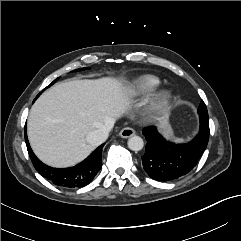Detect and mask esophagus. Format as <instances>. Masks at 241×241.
Returning a JSON list of instances; mask_svg holds the SVG:
<instances>
[{
	"instance_id": "1",
	"label": "esophagus",
	"mask_w": 241,
	"mask_h": 241,
	"mask_svg": "<svg viewBox=\"0 0 241 241\" xmlns=\"http://www.w3.org/2000/svg\"><path fill=\"white\" fill-rule=\"evenodd\" d=\"M134 134H135V130L130 127L123 128L119 133V135L122 138H129V137L133 136Z\"/></svg>"
}]
</instances>
